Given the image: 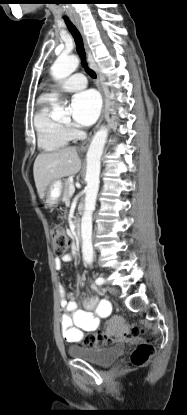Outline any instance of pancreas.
Returning <instances> with one entry per match:
<instances>
[{"mask_svg": "<svg viewBox=\"0 0 187 415\" xmlns=\"http://www.w3.org/2000/svg\"><path fill=\"white\" fill-rule=\"evenodd\" d=\"M72 185V181L70 178L66 179L64 182V192H63V198L62 201L64 203H68L70 199V186Z\"/></svg>", "mask_w": 187, "mask_h": 415, "instance_id": "obj_1", "label": "pancreas"}]
</instances>
